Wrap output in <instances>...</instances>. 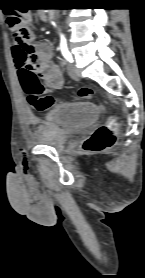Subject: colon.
Returning <instances> with one entry per match:
<instances>
[{"label": "colon", "mask_w": 145, "mask_h": 278, "mask_svg": "<svg viewBox=\"0 0 145 278\" xmlns=\"http://www.w3.org/2000/svg\"><path fill=\"white\" fill-rule=\"evenodd\" d=\"M7 25L11 34L19 41L22 51L32 52L34 47L29 40L30 16L28 11L17 8L7 14ZM23 90L27 94L30 107L36 111H46L50 107L60 103V100L52 95L45 94L44 88L34 73H27L21 79ZM93 90L90 87L79 89L75 99L79 101L91 98ZM117 123L113 118L100 125L84 144L86 152L97 153L109 148L116 140Z\"/></svg>", "instance_id": "5ec220e1"}]
</instances>
